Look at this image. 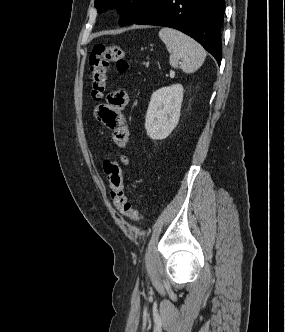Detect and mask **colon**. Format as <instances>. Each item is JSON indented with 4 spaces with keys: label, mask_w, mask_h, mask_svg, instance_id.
Wrapping results in <instances>:
<instances>
[{
    "label": "colon",
    "mask_w": 285,
    "mask_h": 332,
    "mask_svg": "<svg viewBox=\"0 0 285 332\" xmlns=\"http://www.w3.org/2000/svg\"><path fill=\"white\" fill-rule=\"evenodd\" d=\"M114 64L121 73L130 68L129 61L125 58V52L119 45H106L97 43L89 56L90 89L92 98H103L109 79V70ZM104 172L107 176L111 197L119 212L134 222H139L141 216L128 201L123 183L122 170L118 162L111 156H107L103 162Z\"/></svg>",
    "instance_id": "obj_1"
}]
</instances>
